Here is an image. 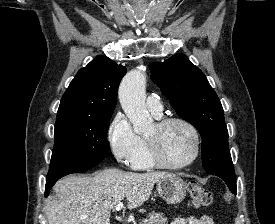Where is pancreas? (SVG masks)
Returning <instances> with one entry per match:
<instances>
[{"instance_id": "cf45deb5", "label": "pancreas", "mask_w": 275, "mask_h": 224, "mask_svg": "<svg viewBox=\"0 0 275 224\" xmlns=\"http://www.w3.org/2000/svg\"><path fill=\"white\" fill-rule=\"evenodd\" d=\"M141 224H167V219L163 213L151 212L146 219H143Z\"/></svg>"}]
</instances>
